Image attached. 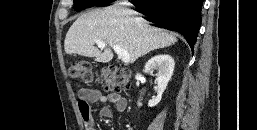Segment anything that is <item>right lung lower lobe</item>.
I'll return each instance as SVG.
<instances>
[{
  "instance_id": "obj_1",
  "label": "right lung lower lobe",
  "mask_w": 257,
  "mask_h": 130,
  "mask_svg": "<svg viewBox=\"0 0 257 130\" xmlns=\"http://www.w3.org/2000/svg\"><path fill=\"white\" fill-rule=\"evenodd\" d=\"M203 0H162L136 5V11L154 26L175 31L184 36L193 50L201 25Z\"/></svg>"
}]
</instances>
